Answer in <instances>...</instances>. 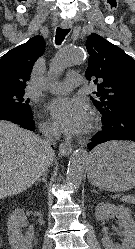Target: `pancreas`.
<instances>
[{
	"label": "pancreas",
	"instance_id": "cf45deb5",
	"mask_svg": "<svg viewBox=\"0 0 135 249\" xmlns=\"http://www.w3.org/2000/svg\"><path fill=\"white\" fill-rule=\"evenodd\" d=\"M121 200L129 204H135V197L124 196Z\"/></svg>",
	"mask_w": 135,
	"mask_h": 249
}]
</instances>
